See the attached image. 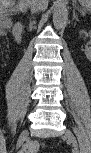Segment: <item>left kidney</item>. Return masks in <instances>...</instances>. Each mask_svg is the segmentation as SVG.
I'll return each mask as SVG.
<instances>
[{
  "mask_svg": "<svg viewBox=\"0 0 91 153\" xmlns=\"http://www.w3.org/2000/svg\"><path fill=\"white\" fill-rule=\"evenodd\" d=\"M85 54H86L87 58H90L91 57V50L89 48H86L85 49Z\"/></svg>",
  "mask_w": 91,
  "mask_h": 153,
  "instance_id": "obj_1",
  "label": "left kidney"
}]
</instances>
